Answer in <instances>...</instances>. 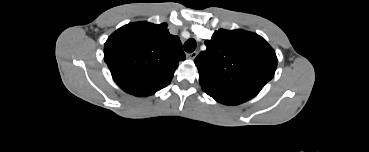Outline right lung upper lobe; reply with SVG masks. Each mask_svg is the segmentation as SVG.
Here are the masks:
<instances>
[{
	"mask_svg": "<svg viewBox=\"0 0 369 152\" xmlns=\"http://www.w3.org/2000/svg\"><path fill=\"white\" fill-rule=\"evenodd\" d=\"M184 59L179 37L171 35L165 23L127 24L104 45V60L114 81L135 96H149L169 85Z\"/></svg>",
	"mask_w": 369,
	"mask_h": 152,
	"instance_id": "1",
	"label": "right lung upper lobe"
}]
</instances>
